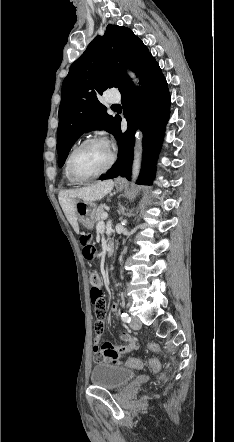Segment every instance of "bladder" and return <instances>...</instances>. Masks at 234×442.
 <instances>
[{
	"label": "bladder",
	"instance_id": "31cf9c89",
	"mask_svg": "<svg viewBox=\"0 0 234 442\" xmlns=\"http://www.w3.org/2000/svg\"><path fill=\"white\" fill-rule=\"evenodd\" d=\"M135 375V371L127 367L100 364L93 368L90 379L95 386L118 389L128 384Z\"/></svg>",
	"mask_w": 234,
	"mask_h": 442
}]
</instances>
